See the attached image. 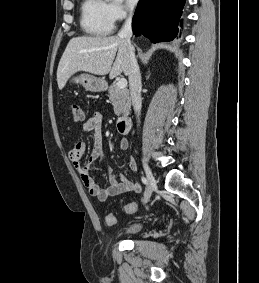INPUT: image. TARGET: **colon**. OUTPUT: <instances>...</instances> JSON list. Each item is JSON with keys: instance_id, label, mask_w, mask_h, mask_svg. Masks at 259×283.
Returning <instances> with one entry per match:
<instances>
[{"instance_id": "5ec220e1", "label": "colon", "mask_w": 259, "mask_h": 283, "mask_svg": "<svg viewBox=\"0 0 259 283\" xmlns=\"http://www.w3.org/2000/svg\"><path fill=\"white\" fill-rule=\"evenodd\" d=\"M71 113H72L73 120L75 122H82L84 120V112L82 108L80 107V105L75 104V103L72 104ZM137 208H138L137 203L129 202L124 206V212L131 214V213L136 212ZM105 222L107 226H114L116 224L115 215L113 213H108L105 217Z\"/></svg>"}]
</instances>
